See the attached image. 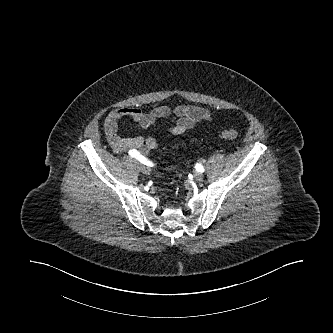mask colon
<instances>
[{"label":"colon","instance_id":"5ec220e1","mask_svg":"<svg viewBox=\"0 0 333 333\" xmlns=\"http://www.w3.org/2000/svg\"><path fill=\"white\" fill-rule=\"evenodd\" d=\"M219 136L226 140H235L238 138V133L234 129H223L219 131Z\"/></svg>","mask_w":333,"mask_h":333}]
</instances>
